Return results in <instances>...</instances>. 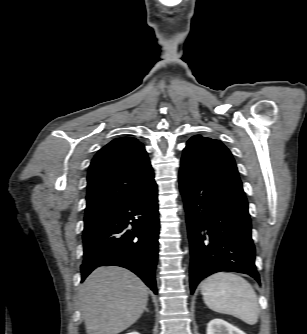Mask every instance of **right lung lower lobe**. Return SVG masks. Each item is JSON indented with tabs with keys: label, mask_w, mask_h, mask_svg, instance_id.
I'll return each mask as SVG.
<instances>
[{
	"label": "right lung lower lobe",
	"mask_w": 307,
	"mask_h": 334,
	"mask_svg": "<svg viewBox=\"0 0 307 334\" xmlns=\"http://www.w3.org/2000/svg\"><path fill=\"white\" fill-rule=\"evenodd\" d=\"M158 235L157 185L153 182L83 232L81 281L99 266H121L137 274L157 294Z\"/></svg>",
	"instance_id": "98d812e1"
}]
</instances>
